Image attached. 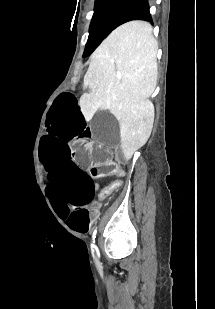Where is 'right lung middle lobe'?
<instances>
[{
  "label": "right lung middle lobe",
  "mask_w": 215,
  "mask_h": 309,
  "mask_svg": "<svg viewBox=\"0 0 215 309\" xmlns=\"http://www.w3.org/2000/svg\"><path fill=\"white\" fill-rule=\"evenodd\" d=\"M133 0H96L90 34L83 56H89L108 34L117 27L118 21Z\"/></svg>",
  "instance_id": "right-lung-middle-lobe-1"
}]
</instances>
